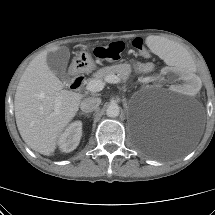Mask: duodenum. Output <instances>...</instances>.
I'll return each instance as SVG.
<instances>
[{
    "instance_id": "duodenum-1",
    "label": "duodenum",
    "mask_w": 215,
    "mask_h": 215,
    "mask_svg": "<svg viewBox=\"0 0 215 215\" xmlns=\"http://www.w3.org/2000/svg\"><path fill=\"white\" fill-rule=\"evenodd\" d=\"M71 72L70 85L73 89H79L84 82V77L77 73L76 70H72Z\"/></svg>"
}]
</instances>
